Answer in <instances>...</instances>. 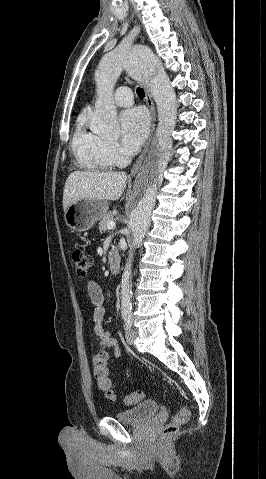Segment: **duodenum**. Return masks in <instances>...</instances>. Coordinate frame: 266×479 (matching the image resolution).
<instances>
[{
  "instance_id": "1",
  "label": "duodenum",
  "mask_w": 266,
  "mask_h": 479,
  "mask_svg": "<svg viewBox=\"0 0 266 479\" xmlns=\"http://www.w3.org/2000/svg\"><path fill=\"white\" fill-rule=\"evenodd\" d=\"M108 261L110 272L112 275H117L121 267V257L116 249H111L108 253Z\"/></svg>"
}]
</instances>
